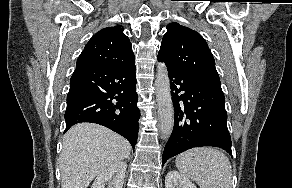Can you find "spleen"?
I'll use <instances>...</instances> for the list:
<instances>
[{
  "label": "spleen",
  "instance_id": "spleen-1",
  "mask_svg": "<svg viewBox=\"0 0 292 188\" xmlns=\"http://www.w3.org/2000/svg\"><path fill=\"white\" fill-rule=\"evenodd\" d=\"M177 169L200 188H232L228 157L212 147H197L176 157Z\"/></svg>",
  "mask_w": 292,
  "mask_h": 188
}]
</instances>
